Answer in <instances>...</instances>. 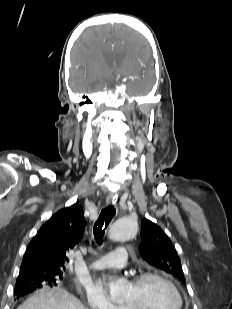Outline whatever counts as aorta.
<instances>
[{"label":"aorta","mask_w":232,"mask_h":309,"mask_svg":"<svg viewBox=\"0 0 232 309\" xmlns=\"http://www.w3.org/2000/svg\"><path fill=\"white\" fill-rule=\"evenodd\" d=\"M137 233V223L129 218H121L114 222L109 232V238L112 241H125ZM110 297L114 302L124 299L127 289V282L123 279L111 280L109 282Z\"/></svg>","instance_id":"1"}]
</instances>
